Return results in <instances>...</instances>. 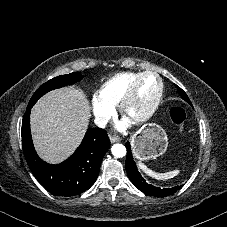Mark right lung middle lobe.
I'll return each instance as SVG.
<instances>
[{
	"label": "right lung middle lobe",
	"instance_id": "right-lung-middle-lobe-1",
	"mask_svg": "<svg viewBox=\"0 0 227 227\" xmlns=\"http://www.w3.org/2000/svg\"><path fill=\"white\" fill-rule=\"evenodd\" d=\"M82 78L83 76L80 72H73L68 75H61L49 80L36 90L28 105L33 106L37 100L47 92L53 89L61 88L63 86L74 84L81 81Z\"/></svg>",
	"mask_w": 227,
	"mask_h": 227
}]
</instances>
